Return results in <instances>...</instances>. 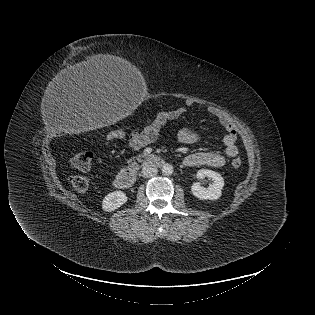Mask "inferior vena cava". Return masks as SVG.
<instances>
[{
	"instance_id": "inferior-vena-cava-1",
	"label": "inferior vena cava",
	"mask_w": 315,
	"mask_h": 315,
	"mask_svg": "<svg viewBox=\"0 0 315 315\" xmlns=\"http://www.w3.org/2000/svg\"><path fill=\"white\" fill-rule=\"evenodd\" d=\"M158 170L155 165L145 164L142 168L141 174L145 178L154 177L157 174Z\"/></svg>"
}]
</instances>
